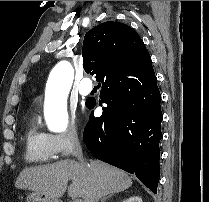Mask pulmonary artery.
<instances>
[{
  "instance_id": "pulmonary-artery-1",
  "label": "pulmonary artery",
  "mask_w": 209,
  "mask_h": 202,
  "mask_svg": "<svg viewBox=\"0 0 209 202\" xmlns=\"http://www.w3.org/2000/svg\"><path fill=\"white\" fill-rule=\"evenodd\" d=\"M91 90H92V83H91V80H90V79H86V80L82 83V85H81V87H80V93H81L82 95H87V94H89V93L91 92Z\"/></svg>"
}]
</instances>
